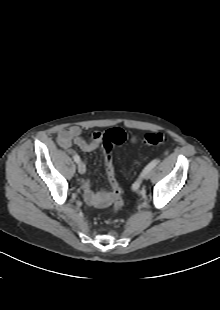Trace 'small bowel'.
<instances>
[{"label":"small bowel","mask_w":220,"mask_h":310,"mask_svg":"<svg viewBox=\"0 0 220 310\" xmlns=\"http://www.w3.org/2000/svg\"><path fill=\"white\" fill-rule=\"evenodd\" d=\"M102 134L93 132L88 139L82 136V130L78 126H70L61 130L57 136L58 144L71 155L75 154L72 146L77 145L83 152L90 153L101 146ZM132 143L137 142V137L131 138ZM84 200L95 207H104L110 197L106 191L95 192L91 188L90 181L84 179L81 184Z\"/></svg>","instance_id":"c3829d8e"}]
</instances>
